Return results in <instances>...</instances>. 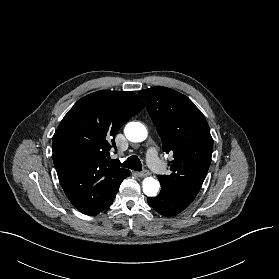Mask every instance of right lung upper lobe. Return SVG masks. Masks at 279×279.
<instances>
[{
	"instance_id": "obj_1",
	"label": "right lung upper lobe",
	"mask_w": 279,
	"mask_h": 279,
	"mask_svg": "<svg viewBox=\"0 0 279 279\" xmlns=\"http://www.w3.org/2000/svg\"><path fill=\"white\" fill-rule=\"evenodd\" d=\"M145 107L134 92L102 90L89 94L65 115L52 140L59 182L70 202L92 214L130 171L110 161L114 137Z\"/></svg>"
}]
</instances>
